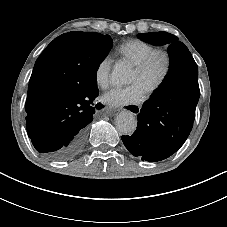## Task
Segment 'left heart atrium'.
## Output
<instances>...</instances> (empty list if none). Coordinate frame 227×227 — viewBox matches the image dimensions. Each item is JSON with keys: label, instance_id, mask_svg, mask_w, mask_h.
<instances>
[{"label": "left heart atrium", "instance_id": "obj_1", "mask_svg": "<svg viewBox=\"0 0 227 227\" xmlns=\"http://www.w3.org/2000/svg\"><path fill=\"white\" fill-rule=\"evenodd\" d=\"M146 88L140 84H132L126 88H114L107 91L103 97V102L111 107H124L140 104L147 96Z\"/></svg>", "mask_w": 227, "mask_h": 227}]
</instances>
